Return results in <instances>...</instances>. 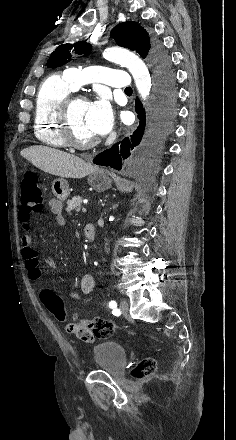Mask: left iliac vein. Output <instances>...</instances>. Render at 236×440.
<instances>
[{
    "label": "left iliac vein",
    "mask_w": 236,
    "mask_h": 440,
    "mask_svg": "<svg viewBox=\"0 0 236 440\" xmlns=\"http://www.w3.org/2000/svg\"><path fill=\"white\" fill-rule=\"evenodd\" d=\"M120 310L123 314H128L129 311V303L126 300H121L120 302Z\"/></svg>",
    "instance_id": "4c4485c4"
}]
</instances>
